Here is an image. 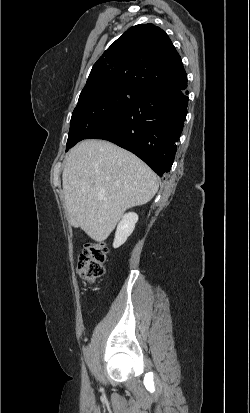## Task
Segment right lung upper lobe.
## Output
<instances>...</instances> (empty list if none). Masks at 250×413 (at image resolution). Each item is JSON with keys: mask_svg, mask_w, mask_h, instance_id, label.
<instances>
[{"mask_svg": "<svg viewBox=\"0 0 250 413\" xmlns=\"http://www.w3.org/2000/svg\"><path fill=\"white\" fill-rule=\"evenodd\" d=\"M187 82L181 57L168 35L153 24L121 35L93 65L86 85H124L141 93Z\"/></svg>", "mask_w": 250, "mask_h": 413, "instance_id": "obj_1", "label": "right lung upper lobe"}]
</instances>
